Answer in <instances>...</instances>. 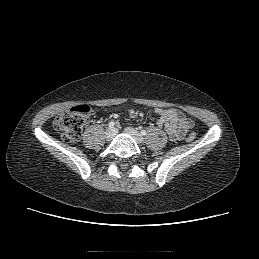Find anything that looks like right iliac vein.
I'll return each instance as SVG.
<instances>
[{
  "label": "right iliac vein",
  "mask_w": 259,
  "mask_h": 259,
  "mask_svg": "<svg viewBox=\"0 0 259 259\" xmlns=\"http://www.w3.org/2000/svg\"><path fill=\"white\" fill-rule=\"evenodd\" d=\"M116 134V130L114 128H109L106 130L105 132V138L109 141V140H112L113 137L115 136Z\"/></svg>",
  "instance_id": "obj_1"
}]
</instances>
